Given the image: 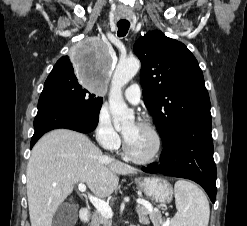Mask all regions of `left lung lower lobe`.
Masks as SVG:
<instances>
[{
  "mask_svg": "<svg viewBox=\"0 0 247 226\" xmlns=\"http://www.w3.org/2000/svg\"><path fill=\"white\" fill-rule=\"evenodd\" d=\"M211 125V118L187 124L175 138L163 144L161 163L142 170L193 180L205 189L214 203L217 172L213 159Z\"/></svg>",
  "mask_w": 247,
  "mask_h": 226,
  "instance_id": "0a47b994",
  "label": "left lung lower lobe"
}]
</instances>
